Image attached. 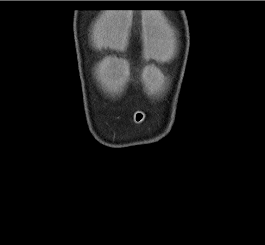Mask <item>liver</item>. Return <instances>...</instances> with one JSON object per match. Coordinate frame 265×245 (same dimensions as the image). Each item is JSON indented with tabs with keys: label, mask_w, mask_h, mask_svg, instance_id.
I'll use <instances>...</instances> for the list:
<instances>
[{
	"label": "liver",
	"mask_w": 265,
	"mask_h": 245,
	"mask_svg": "<svg viewBox=\"0 0 265 245\" xmlns=\"http://www.w3.org/2000/svg\"><path fill=\"white\" fill-rule=\"evenodd\" d=\"M94 43L97 48L107 47L111 44L109 36L105 35L101 30L94 32Z\"/></svg>",
	"instance_id": "1"
}]
</instances>
